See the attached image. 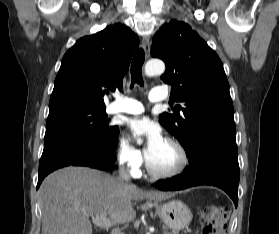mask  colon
Segmentation results:
<instances>
[{"instance_id":"obj_1","label":"colon","mask_w":279,"mask_h":234,"mask_svg":"<svg viewBox=\"0 0 279 234\" xmlns=\"http://www.w3.org/2000/svg\"><path fill=\"white\" fill-rule=\"evenodd\" d=\"M228 207L223 203H216L206 207L203 218L206 222L202 234H226V220Z\"/></svg>"}]
</instances>
